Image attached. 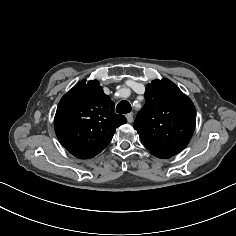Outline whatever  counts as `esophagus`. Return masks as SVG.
<instances>
[{
  "instance_id": "34e87169",
  "label": "esophagus",
  "mask_w": 236,
  "mask_h": 236,
  "mask_svg": "<svg viewBox=\"0 0 236 236\" xmlns=\"http://www.w3.org/2000/svg\"><path fill=\"white\" fill-rule=\"evenodd\" d=\"M126 118L129 123H132L133 122V113L126 114Z\"/></svg>"
}]
</instances>
